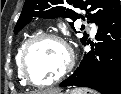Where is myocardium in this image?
Masks as SVG:
<instances>
[{"label":"myocardium","instance_id":"1","mask_svg":"<svg viewBox=\"0 0 121 94\" xmlns=\"http://www.w3.org/2000/svg\"><path fill=\"white\" fill-rule=\"evenodd\" d=\"M45 40H52V41L58 42L64 48L67 60L62 71L54 79L46 83H37L29 75L28 68H27V59L31 50L34 48V46L39 42L45 41ZM74 63H75V60H74L73 50L63 37L53 33H42L34 36L25 45L20 57V71L24 78V81L27 84L34 87L43 88V87L52 86L62 81L72 71L74 67Z\"/></svg>","mask_w":121,"mask_h":94}]
</instances>
